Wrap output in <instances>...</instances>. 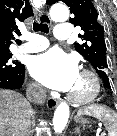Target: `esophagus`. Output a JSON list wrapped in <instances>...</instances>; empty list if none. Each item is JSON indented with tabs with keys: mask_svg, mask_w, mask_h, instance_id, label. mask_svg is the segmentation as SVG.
I'll use <instances>...</instances> for the list:
<instances>
[{
	"mask_svg": "<svg viewBox=\"0 0 117 136\" xmlns=\"http://www.w3.org/2000/svg\"><path fill=\"white\" fill-rule=\"evenodd\" d=\"M39 20L40 22L42 23H46V24H51L52 21H51V18L48 14V12L46 10H42L39 14ZM47 106L50 108V109H53L57 106L58 104V101L54 98H48L47 99Z\"/></svg>",
	"mask_w": 117,
	"mask_h": 136,
	"instance_id": "1",
	"label": "esophagus"
}]
</instances>
